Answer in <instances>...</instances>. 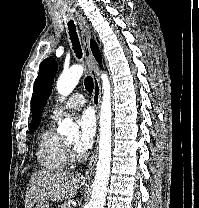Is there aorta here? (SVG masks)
Instances as JSON below:
<instances>
[{"label":"aorta","instance_id":"1","mask_svg":"<svg viewBox=\"0 0 199 208\" xmlns=\"http://www.w3.org/2000/svg\"><path fill=\"white\" fill-rule=\"evenodd\" d=\"M84 67L82 65H73L65 70L57 81V91L64 97H67L78 84ZM103 97L100 110V139L99 156L96 166V173L92 186L89 208H104L106 194L108 189L111 152H112V109H111V87L107 74H101ZM58 133L61 135H71L78 133V127L70 117H66L59 123Z\"/></svg>","mask_w":199,"mask_h":208}]
</instances>
